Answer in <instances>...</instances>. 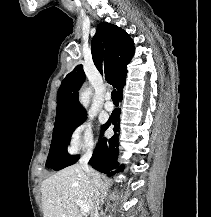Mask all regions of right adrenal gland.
Instances as JSON below:
<instances>
[{
    "mask_svg": "<svg viewBox=\"0 0 211 217\" xmlns=\"http://www.w3.org/2000/svg\"><path fill=\"white\" fill-rule=\"evenodd\" d=\"M107 191H108V189H106L102 192L101 200H100L101 205H103V203H104V198L107 195Z\"/></svg>",
    "mask_w": 211,
    "mask_h": 217,
    "instance_id": "obj_1",
    "label": "right adrenal gland"
}]
</instances>
